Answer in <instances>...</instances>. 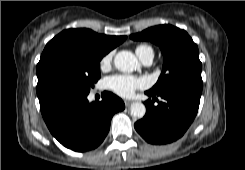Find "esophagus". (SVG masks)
<instances>
[{"instance_id": "1", "label": "esophagus", "mask_w": 245, "mask_h": 170, "mask_svg": "<svg viewBox=\"0 0 245 170\" xmlns=\"http://www.w3.org/2000/svg\"><path fill=\"white\" fill-rule=\"evenodd\" d=\"M124 103H125L126 106H129L132 103V101H130V100H124Z\"/></svg>"}]
</instances>
